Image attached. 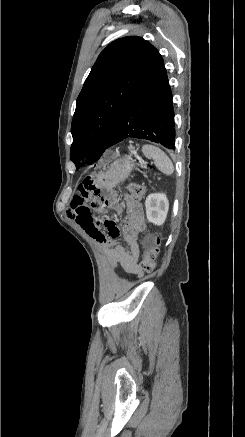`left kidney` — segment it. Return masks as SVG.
I'll use <instances>...</instances> for the list:
<instances>
[{
	"instance_id": "left-kidney-1",
	"label": "left kidney",
	"mask_w": 245,
	"mask_h": 437,
	"mask_svg": "<svg viewBox=\"0 0 245 437\" xmlns=\"http://www.w3.org/2000/svg\"><path fill=\"white\" fill-rule=\"evenodd\" d=\"M146 216L149 222L162 225L167 217L169 201L163 193L150 194L145 201Z\"/></svg>"
}]
</instances>
